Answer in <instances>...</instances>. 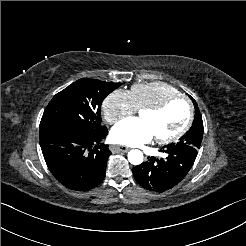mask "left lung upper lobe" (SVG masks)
Wrapping results in <instances>:
<instances>
[{"mask_svg": "<svg viewBox=\"0 0 246 246\" xmlns=\"http://www.w3.org/2000/svg\"><path fill=\"white\" fill-rule=\"evenodd\" d=\"M189 97L193 101L195 107V117H194L193 125L190 128V130L179 139L177 143H171V144L177 146L188 145L198 150L200 148L202 137H203V121L196 101L191 96Z\"/></svg>", "mask_w": 246, "mask_h": 246, "instance_id": "left-lung-upper-lobe-1", "label": "left lung upper lobe"}]
</instances>
